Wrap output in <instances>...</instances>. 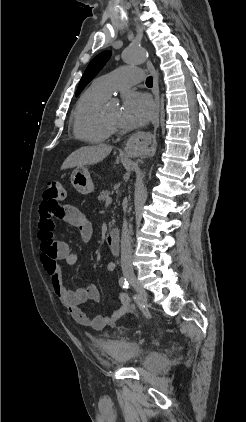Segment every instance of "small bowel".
I'll return each instance as SVG.
<instances>
[{
	"mask_svg": "<svg viewBox=\"0 0 246 422\" xmlns=\"http://www.w3.org/2000/svg\"><path fill=\"white\" fill-rule=\"evenodd\" d=\"M55 219H62L77 228L82 240L85 242H88L92 237V224L83 212L74 206L67 205L52 209L44 202L40 205L38 239L42 264L48 275L50 286L77 323L91 327L94 330H102L130 312V298L126 293H120L121 306L109 315L98 314L89 317L82 311L80 305L88 301L98 302L101 294L99 289L93 284H87L72 290L64 286L60 275L59 261H65L68 266H74L78 261V255L66 242L55 239ZM106 269L110 273L114 272L115 264L108 262Z\"/></svg>",
	"mask_w": 246,
	"mask_h": 422,
	"instance_id": "c3829d8e",
	"label": "small bowel"
}]
</instances>
